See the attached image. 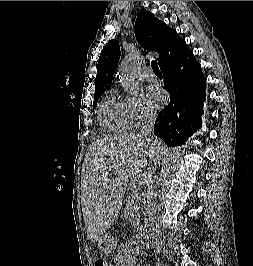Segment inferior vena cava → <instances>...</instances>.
<instances>
[{"label": "inferior vena cava", "instance_id": "inferior-vena-cava-1", "mask_svg": "<svg viewBox=\"0 0 253 266\" xmlns=\"http://www.w3.org/2000/svg\"><path fill=\"white\" fill-rule=\"evenodd\" d=\"M155 123V115L154 114H146L142 119V126L140 129V135H142L146 141L152 142L154 139L153 136V126ZM144 183L146 185V190L142 194L143 202H147V207L145 208V226L148 229L149 237L155 240V248L156 252L159 251V243L157 241L158 230L156 227V209L155 204L151 202L154 197V185L152 180V172L148 173V175L144 179Z\"/></svg>", "mask_w": 253, "mask_h": 266}]
</instances>
